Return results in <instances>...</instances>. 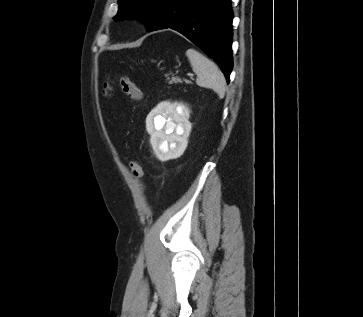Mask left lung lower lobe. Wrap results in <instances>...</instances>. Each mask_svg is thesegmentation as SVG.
I'll use <instances>...</instances> for the list:
<instances>
[{"label": "left lung lower lobe", "instance_id": "0a47b994", "mask_svg": "<svg viewBox=\"0 0 363 317\" xmlns=\"http://www.w3.org/2000/svg\"><path fill=\"white\" fill-rule=\"evenodd\" d=\"M231 0H162L147 31L171 28L212 57L227 82L233 67Z\"/></svg>", "mask_w": 363, "mask_h": 317}]
</instances>
